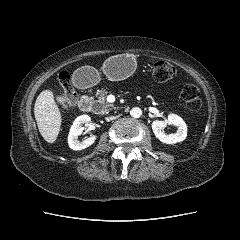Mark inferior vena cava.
I'll list each match as a JSON object with an SVG mask.
<instances>
[{
    "mask_svg": "<svg viewBox=\"0 0 240 240\" xmlns=\"http://www.w3.org/2000/svg\"><path fill=\"white\" fill-rule=\"evenodd\" d=\"M113 119H115V116L106 117V120H107V121H110V120H113Z\"/></svg>",
    "mask_w": 240,
    "mask_h": 240,
    "instance_id": "602c4592",
    "label": "inferior vena cava"
}]
</instances>
